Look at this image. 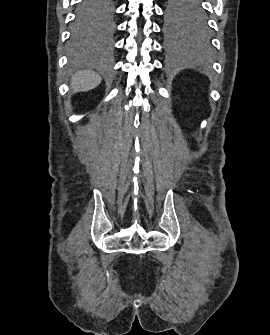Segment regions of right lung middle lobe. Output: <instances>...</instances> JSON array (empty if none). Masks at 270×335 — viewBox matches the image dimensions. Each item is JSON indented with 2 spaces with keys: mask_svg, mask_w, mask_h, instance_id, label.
<instances>
[{
  "mask_svg": "<svg viewBox=\"0 0 270 335\" xmlns=\"http://www.w3.org/2000/svg\"><path fill=\"white\" fill-rule=\"evenodd\" d=\"M114 0H82L79 3L72 27L73 41L85 42L91 34L110 25Z\"/></svg>",
  "mask_w": 270,
  "mask_h": 335,
  "instance_id": "1",
  "label": "right lung middle lobe"
}]
</instances>
